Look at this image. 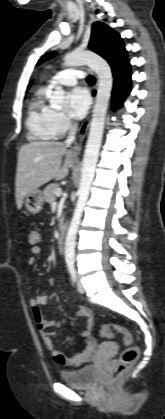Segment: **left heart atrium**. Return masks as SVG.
Instances as JSON below:
<instances>
[{
	"instance_id": "1",
	"label": "left heart atrium",
	"mask_w": 165,
	"mask_h": 419,
	"mask_svg": "<svg viewBox=\"0 0 165 419\" xmlns=\"http://www.w3.org/2000/svg\"><path fill=\"white\" fill-rule=\"evenodd\" d=\"M90 105L88 92L83 88H74L68 93V113L74 119H82Z\"/></svg>"
}]
</instances>
